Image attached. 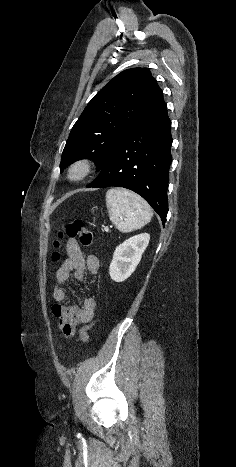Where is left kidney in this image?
<instances>
[{
  "label": "left kidney",
  "instance_id": "5707ae66",
  "mask_svg": "<svg viewBox=\"0 0 236 467\" xmlns=\"http://www.w3.org/2000/svg\"><path fill=\"white\" fill-rule=\"evenodd\" d=\"M150 235L139 234L120 244L114 251L109 267V274L115 282H123L131 276L141 261L142 254L147 248Z\"/></svg>",
  "mask_w": 236,
  "mask_h": 467
}]
</instances>
